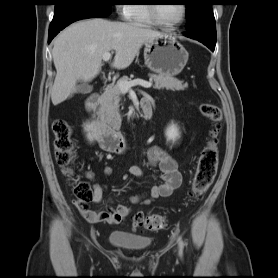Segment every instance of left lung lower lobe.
Masks as SVG:
<instances>
[{
    "label": "left lung lower lobe",
    "instance_id": "left-lung-lower-lobe-1",
    "mask_svg": "<svg viewBox=\"0 0 278 278\" xmlns=\"http://www.w3.org/2000/svg\"><path fill=\"white\" fill-rule=\"evenodd\" d=\"M184 35L186 37L198 40L199 42L206 45L211 51H214V49H215L216 41H212V40L206 38L199 31H188V32L184 33Z\"/></svg>",
    "mask_w": 278,
    "mask_h": 278
}]
</instances>
